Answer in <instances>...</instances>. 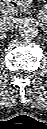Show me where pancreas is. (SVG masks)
<instances>
[{"mask_svg":"<svg viewBox=\"0 0 47 129\" xmlns=\"http://www.w3.org/2000/svg\"><path fill=\"white\" fill-rule=\"evenodd\" d=\"M19 2L21 4V10L26 11L29 7V3L27 2V0H19Z\"/></svg>","mask_w":47,"mask_h":129,"instance_id":"pancreas-1","label":"pancreas"}]
</instances>
